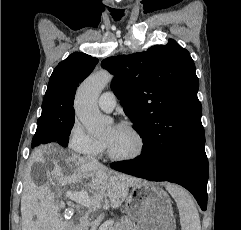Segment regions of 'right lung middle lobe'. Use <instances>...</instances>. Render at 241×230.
Here are the masks:
<instances>
[{
    "mask_svg": "<svg viewBox=\"0 0 241 230\" xmlns=\"http://www.w3.org/2000/svg\"><path fill=\"white\" fill-rule=\"evenodd\" d=\"M75 118L60 120L49 114H41L38 118V127L32 140L31 147L50 142H56L66 147Z\"/></svg>",
    "mask_w": 241,
    "mask_h": 230,
    "instance_id": "obj_1",
    "label": "right lung middle lobe"
}]
</instances>
